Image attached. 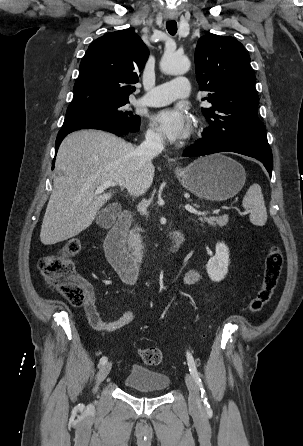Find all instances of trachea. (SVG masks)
Returning <instances> with one entry per match:
<instances>
[{"label":"trachea","instance_id":"1","mask_svg":"<svg viewBox=\"0 0 303 446\" xmlns=\"http://www.w3.org/2000/svg\"><path fill=\"white\" fill-rule=\"evenodd\" d=\"M166 28L171 35H175L177 32V23L174 20L168 21L166 22Z\"/></svg>","mask_w":303,"mask_h":446}]
</instances>
